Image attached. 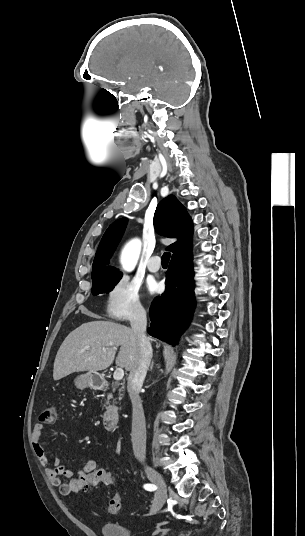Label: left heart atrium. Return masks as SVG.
I'll return each mask as SVG.
<instances>
[{
	"label": "left heart atrium",
	"instance_id": "1",
	"mask_svg": "<svg viewBox=\"0 0 305 536\" xmlns=\"http://www.w3.org/2000/svg\"><path fill=\"white\" fill-rule=\"evenodd\" d=\"M148 289L151 293H156L160 290V285L155 282V281H151L149 284H148Z\"/></svg>",
	"mask_w": 305,
	"mask_h": 536
}]
</instances>
